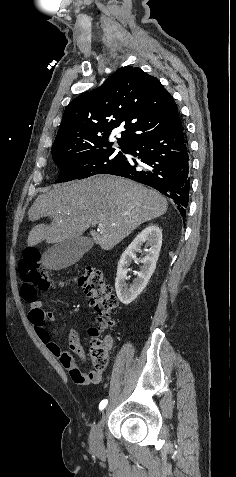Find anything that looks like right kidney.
Listing matches in <instances>:
<instances>
[{
  "label": "right kidney",
  "instance_id": "obj_1",
  "mask_svg": "<svg viewBox=\"0 0 236 477\" xmlns=\"http://www.w3.org/2000/svg\"><path fill=\"white\" fill-rule=\"evenodd\" d=\"M145 243L148 247L146 256L141 260L143 264L140 271L134 272L136 278L130 286L127 285V272L132 260L136 259V252ZM162 245V230L158 225L152 224L146 227L122 254L117 268L115 289L119 300L128 305L134 301L148 284L159 257Z\"/></svg>",
  "mask_w": 236,
  "mask_h": 477
}]
</instances>
